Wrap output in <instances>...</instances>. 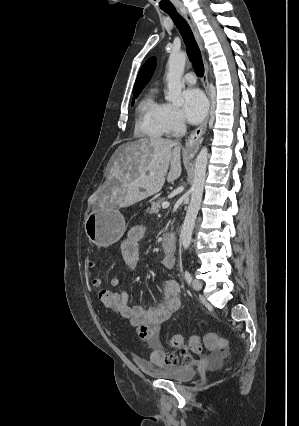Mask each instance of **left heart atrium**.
I'll return each mask as SVG.
<instances>
[{
	"mask_svg": "<svg viewBox=\"0 0 299 426\" xmlns=\"http://www.w3.org/2000/svg\"><path fill=\"white\" fill-rule=\"evenodd\" d=\"M207 108V100L199 89L189 88L183 92L182 113L189 123H199L206 115Z\"/></svg>",
	"mask_w": 299,
	"mask_h": 426,
	"instance_id": "left-heart-atrium-1",
	"label": "left heart atrium"
}]
</instances>
